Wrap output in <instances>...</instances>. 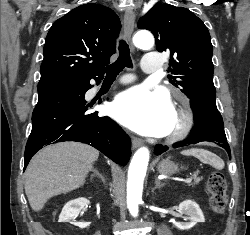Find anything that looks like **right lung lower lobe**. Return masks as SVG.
<instances>
[{
    "label": "right lung lower lobe",
    "mask_w": 250,
    "mask_h": 235,
    "mask_svg": "<svg viewBox=\"0 0 250 235\" xmlns=\"http://www.w3.org/2000/svg\"><path fill=\"white\" fill-rule=\"evenodd\" d=\"M102 78L91 79L100 81ZM91 79L38 91V103L32 114V131L24 154V169L42 147L63 141L89 144L114 162L127 164L131 155L129 137L109 117L91 113L92 105L84 98L92 87Z\"/></svg>",
    "instance_id": "right-lung-lower-lobe-1"
}]
</instances>
